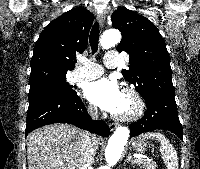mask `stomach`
I'll return each mask as SVG.
<instances>
[{
	"mask_svg": "<svg viewBox=\"0 0 200 169\" xmlns=\"http://www.w3.org/2000/svg\"><path fill=\"white\" fill-rule=\"evenodd\" d=\"M131 148L137 153H144L147 148V142L144 138L138 137L132 141Z\"/></svg>",
	"mask_w": 200,
	"mask_h": 169,
	"instance_id": "obj_1",
	"label": "stomach"
}]
</instances>
